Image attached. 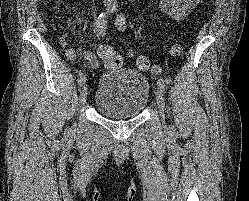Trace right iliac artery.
Here are the masks:
<instances>
[{"label": "right iliac artery", "mask_w": 249, "mask_h": 201, "mask_svg": "<svg viewBox=\"0 0 249 201\" xmlns=\"http://www.w3.org/2000/svg\"><path fill=\"white\" fill-rule=\"evenodd\" d=\"M107 17L108 13L104 12L101 13L98 16V19L96 20L95 29L99 36H104L106 34ZM86 80H87L86 75H81L80 78L78 79L79 85L82 86L83 84H85Z\"/></svg>", "instance_id": "right-iliac-artery-1"}]
</instances>
